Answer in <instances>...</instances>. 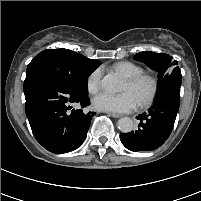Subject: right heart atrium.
Returning a JSON list of instances; mask_svg holds the SVG:
<instances>
[{
    "label": "right heart atrium",
    "instance_id": "d8ad5b80",
    "mask_svg": "<svg viewBox=\"0 0 201 201\" xmlns=\"http://www.w3.org/2000/svg\"><path fill=\"white\" fill-rule=\"evenodd\" d=\"M101 70L96 69L87 77L86 87L90 94H96L100 90Z\"/></svg>",
    "mask_w": 201,
    "mask_h": 201
}]
</instances>
